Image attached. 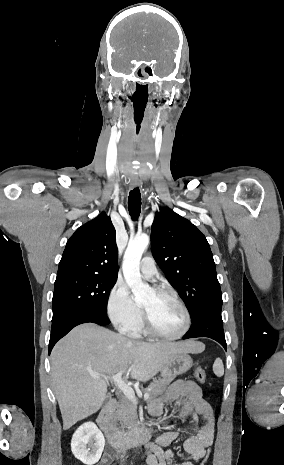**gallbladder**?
<instances>
[{
  "label": "gallbladder",
  "instance_id": "1",
  "mask_svg": "<svg viewBox=\"0 0 284 465\" xmlns=\"http://www.w3.org/2000/svg\"><path fill=\"white\" fill-rule=\"evenodd\" d=\"M109 399H105L104 401V405H106V403H108Z\"/></svg>",
  "mask_w": 284,
  "mask_h": 465
}]
</instances>
